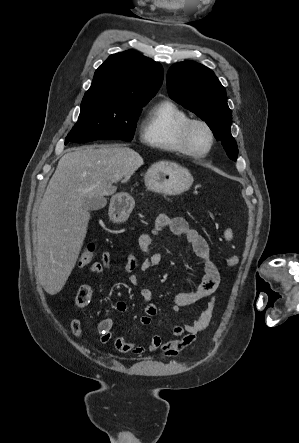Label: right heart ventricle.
Wrapping results in <instances>:
<instances>
[{
  "label": "right heart ventricle",
  "instance_id": "e07e8e85",
  "mask_svg": "<svg viewBox=\"0 0 299 443\" xmlns=\"http://www.w3.org/2000/svg\"><path fill=\"white\" fill-rule=\"evenodd\" d=\"M189 119V114L177 104L162 100L148 111L143 122L141 139L153 149L185 154L179 143V132Z\"/></svg>",
  "mask_w": 299,
  "mask_h": 443
}]
</instances>
